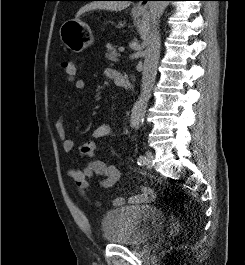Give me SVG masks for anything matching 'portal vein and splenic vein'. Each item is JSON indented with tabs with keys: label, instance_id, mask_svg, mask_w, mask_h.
<instances>
[{
	"label": "portal vein and splenic vein",
	"instance_id": "18ae733b",
	"mask_svg": "<svg viewBox=\"0 0 245 265\" xmlns=\"http://www.w3.org/2000/svg\"><path fill=\"white\" fill-rule=\"evenodd\" d=\"M119 52H124V47H120Z\"/></svg>",
	"mask_w": 245,
	"mask_h": 265
}]
</instances>
